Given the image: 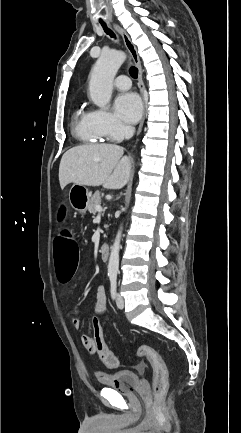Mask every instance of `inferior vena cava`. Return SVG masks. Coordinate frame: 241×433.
Instances as JSON below:
<instances>
[{"label": "inferior vena cava", "mask_w": 241, "mask_h": 433, "mask_svg": "<svg viewBox=\"0 0 241 433\" xmlns=\"http://www.w3.org/2000/svg\"><path fill=\"white\" fill-rule=\"evenodd\" d=\"M123 132L125 138L130 139L135 133V128L132 126H125Z\"/></svg>", "instance_id": "602c4592"}]
</instances>
